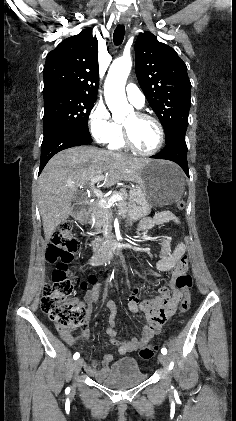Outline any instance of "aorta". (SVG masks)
I'll return each mask as SVG.
<instances>
[{
	"instance_id": "obj_1",
	"label": "aorta",
	"mask_w": 236,
	"mask_h": 421,
	"mask_svg": "<svg viewBox=\"0 0 236 421\" xmlns=\"http://www.w3.org/2000/svg\"><path fill=\"white\" fill-rule=\"evenodd\" d=\"M132 66L130 54H123L112 62L104 84L105 100L112 112L114 104L126 100L125 84ZM127 102V100H126Z\"/></svg>"
}]
</instances>
